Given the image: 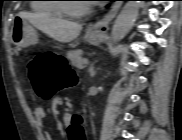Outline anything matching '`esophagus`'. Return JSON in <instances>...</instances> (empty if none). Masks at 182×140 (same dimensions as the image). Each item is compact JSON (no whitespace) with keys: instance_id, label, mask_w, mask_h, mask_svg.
<instances>
[{"instance_id":"esophagus-1","label":"esophagus","mask_w":182,"mask_h":140,"mask_svg":"<svg viewBox=\"0 0 182 140\" xmlns=\"http://www.w3.org/2000/svg\"><path fill=\"white\" fill-rule=\"evenodd\" d=\"M121 1H115L109 10L105 13V15L97 21L95 24H93L90 27V31L94 34L98 35H104L108 32L109 30V25L111 21L115 18L117 15L120 7H121Z\"/></svg>"}]
</instances>
